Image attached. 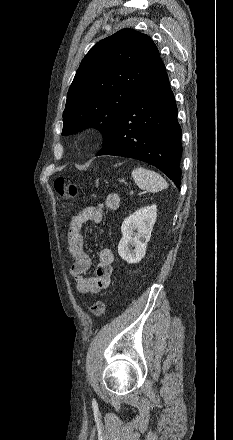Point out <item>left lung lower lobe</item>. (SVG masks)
<instances>
[{
    "instance_id": "obj_1",
    "label": "left lung lower lobe",
    "mask_w": 233,
    "mask_h": 440,
    "mask_svg": "<svg viewBox=\"0 0 233 440\" xmlns=\"http://www.w3.org/2000/svg\"><path fill=\"white\" fill-rule=\"evenodd\" d=\"M177 106L161 59L124 110L118 127L96 154L147 162L179 188L182 130Z\"/></svg>"
}]
</instances>
